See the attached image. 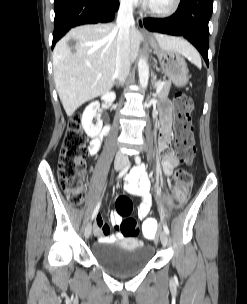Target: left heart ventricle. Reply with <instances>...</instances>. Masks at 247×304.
<instances>
[{
	"label": "left heart ventricle",
	"mask_w": 247,
	"mask_h": 304,
	"mask_svg": "<svg viewBox=\"0 0 247 304\" xmlns=\"http://www.w3.org/2000/svg\"><path fill=\"white\" fill-rule=\"evenodd\" d=\"M173 0H150L148 4L156 11H165L172 5Z\"/></svg>",
	"instance_id": "obj_1"
}]
</instances>
